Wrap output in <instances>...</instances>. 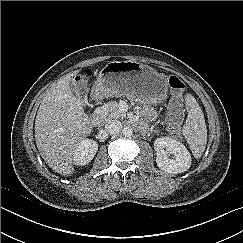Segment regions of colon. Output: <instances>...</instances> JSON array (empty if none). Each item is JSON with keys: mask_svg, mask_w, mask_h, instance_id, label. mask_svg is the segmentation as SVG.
I'll return each instance as SVG.
<instances>
[{"mask_svg": "<svg viewBox=\"0 0 243 243\" xmlns=\"http://www.w3.org/2000/svg\"><path fill=\"white\" fill-rule=\"evenodd\" d=\"M91 71L86 70L82 74L81 79L86 80L91 76ZM169 86L172 90L173 97L170 102V113L167 116V130L173 137H179L181 134V126L184 119V112L182 106V92L184 90V82L177 76L169 77Z\"/></svg>", "mask_w": 243, "mask_h": 243, "instance_id": "obj_1", "label": "colon"}]
</instances>
